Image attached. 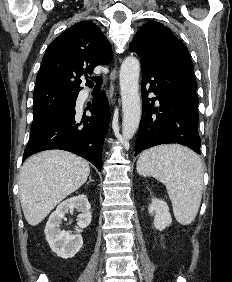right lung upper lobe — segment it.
Returning a JSON list of instances; mask_svg holds the SVG:
<instances>
[{
  "instance_id": "right-lung-upper-lobe-1",
  "label": "right lung upper lobe",
  "mask_w": 232,
  "mask_h": 282,
  "mask_svg": "<svg viewBox=\"0 0 232 282\" xmlns=\"http://www.w3.org/2000/svg\"><path fill=\"white\" fill-rule=\"evenodd\" d=\"M112 60L111 44L92 21L78 22L55 38L42 59L34 91L78 94L83 74ZM87 85L92 86L90 81Z\"/></svg>"
}]
</instances>
